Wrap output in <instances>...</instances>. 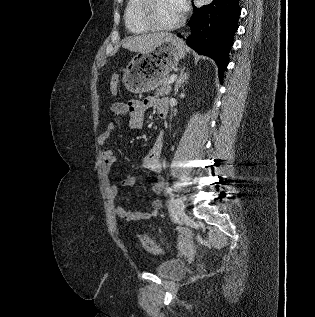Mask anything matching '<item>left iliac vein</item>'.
Listing matches in <instances>:
<instances>
[{
  "mask_svg": "<svg viewBox=\"0 0 315 317\" xmlns=\"http://www.w3.org/2000/svg\"><path fill=\"white\" fill-rule=\"evenodd\" d=\"M174 207H175V211L177 212V214L182 213L185 209V204H184L183 199L180 197L176 198L174 201Z\"/></svg>",
  "mask_w": 315,
  "mask_h": 317,
  "instance_id": "left-iliac-vein-1",
  "label": "left iliac vein"
}]
</instances>
